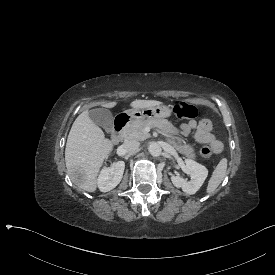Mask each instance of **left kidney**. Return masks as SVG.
I'll list each match as a JSON object with an SVG mask.
<instances>
[{"mask_svg": "<svg viewBox=\"0 0 275 275\" xmlns=\"http://www.w3.org/2000/svg\"><path fill=\"white\" fill-rule=\"evenodd\" d=\"M186 169L191 174L190 181H185L180 175H172L171 181L176 188H182L186 194L192 195L202 186L208 175V171L204 166L189 159L186 160Z\"/></svg>", "mask_w": 275, "mask_h": 275, "instance_id": "5707ae66", "label": "left kidney"}]
</instances>
